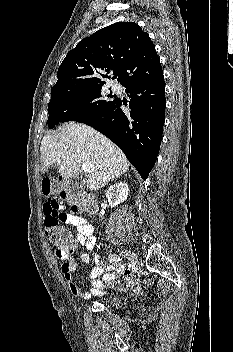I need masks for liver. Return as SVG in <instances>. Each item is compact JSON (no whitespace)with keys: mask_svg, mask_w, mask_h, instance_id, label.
I'll return each mask as SVG.
<instances>
[{"mask_svg":"<svg viewBox=\"0 0 233 352\" xmlns=\"http://www.w3.org/2000/svg\"><path fill=\"white\" fill-rule=\"evenodd\" d=\"M40 152L42 173L57 165L58 173L66 180L78 177L83 163L91 164L93 170L86 181L91 191L99 190L129 169L126 156L113 142L95 129L74 122L44 136Z\"/></svg>","mask_w":233,"mask_h":352,"instance_id":"obj_1","label":"liver"}]
</instances>
